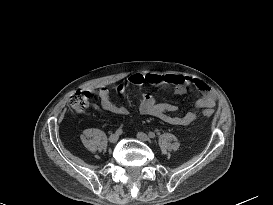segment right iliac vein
<instances>
[{
  "instance_id": "right-iliac-vein-1",
  "label": "right iliac vein",
  "mask_w": 273,
  "mask_h": 205,
  "mask_svg": "<svg viewBox=\"0 0 273 205\" xmlns=\"http://www.w3.org/2000/svg\"><path fill=\"white\" fill-rule=\"evenodd\" d=\"M119 139V134L117 133H114V134H111L110 137H109V142L110 143H115L117 142Z\"/></svg>"
}]
</instances>
